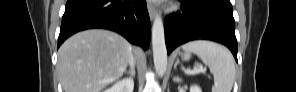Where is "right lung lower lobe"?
<instances>
[{"label": "right lung lower lobe", "instance_id": "98d812e1", "mask_svg": "<svg viewBox=\"0 0 296 92\" xmlns=\"http://www.w3.org/2000/svg\"><path fill=\"white\" fill-rule=\"evenodd\" d=\"M91 28L109 29L147 49L150 19L145 0H68L58 47L72 34Z\"/></svg>", "mask_w": 296, "mask_h": 92}]
</instances>
